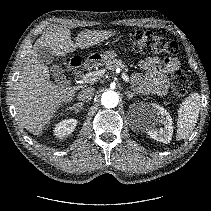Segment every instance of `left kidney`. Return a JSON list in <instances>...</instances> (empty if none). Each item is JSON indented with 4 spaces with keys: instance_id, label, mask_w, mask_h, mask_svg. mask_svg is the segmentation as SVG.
<instances>
[{
    "instance_id": "obj_1",
    "label": "left kidney",
    "mask_w": 211,
    "mask_h": 211,
    "mask_svg": "<svg viewBox=\"0 0 211 211\" xmlns=\"http://www.w3.org/2000/svg\"><path fill=\"white\" fill-rule=\"evenodd\" d=\"M147 134L154 140L169 143L173 134V123L170 114L157 104L150 105V114L145 118ZM164 128L157 129L158 124Z\"/></svg>"
}]
</instances>
